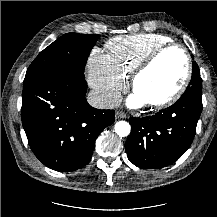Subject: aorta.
I'll use <instances>...</instances> for the list:
<instances>
[{"mask_svg":"<svg viewBox=\"0 0 217 217\" xmlns=\"http://www.w3.org/2000/svg\"><path fill=\"white\" fill-rule=\"evenodd\" d=\"M131 127L126 121H119L115 124V132L120 137H126L130 134Z\"/></svg>","mask_w":217,"mask_h":217,"instance_id":"1","label":"aorta"}]
</instances>
